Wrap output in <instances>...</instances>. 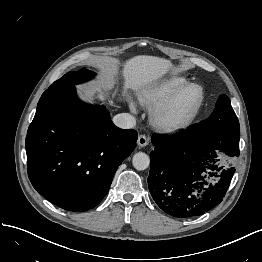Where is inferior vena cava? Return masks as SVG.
Masks as SVG:
<instances>
[{
	"instance_id": "inferior-vena-cava-1",
	"label": "inferior vena cava",
	"mask_w": 262,
	"mask_h": 262,
	"mask_svg": "<svg viewBox=\"0 0 262 262\" xmlns=\"http://www.w3.org/2000/svg\"><path fill=\"white\" fill-rule=\"evenodd\" d=\"M113 123L121 129H129L135 126L136 120L128 113H121L113 117Z\"/></svg>"
}]
</instances>
